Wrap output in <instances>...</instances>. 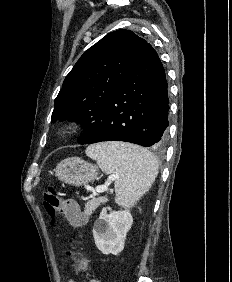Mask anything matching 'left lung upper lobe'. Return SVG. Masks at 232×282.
<instances>
[{
	"label": "left lung upper lobe",
	"mask_w": 232,
	"mask_h": 282,
	"mask_svg": "<svg viewBox=\"0 0 232 282\" xmlns=\"http://www.w3.org/2000/svg\"><path fill=\"white\" fill-rule=\"evenodd\" d=\"M147 41L130 30L107 34L89 48L65 78L51 121L79 120L89 131L136 66ZM85 132V133H86Z\"/></svg>",
	"instance_id": "left-lung-upper-lobe-1"
}]
</instances>
